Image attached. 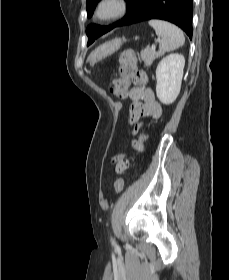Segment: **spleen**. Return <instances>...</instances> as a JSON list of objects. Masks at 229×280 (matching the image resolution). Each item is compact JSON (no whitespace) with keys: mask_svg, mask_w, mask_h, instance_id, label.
Masks as SVG:
<instances>
[{"mask_svg":"<svg viewBox=\"0 0 229 280\" xmlns=\"http://www.w3.org/2000/svg\"><path fill=\"white\" fill-rule=\"evenodd\" d=\"M157 36L159 37V52L165 53L181 47L185 42V37L181 29L177 26L162 20L152 19L149 21Z\"/></svg>","mask_w":229,"mask_h":280,"instance_id":"obj_1","label":"spleen"}]
</instances>
